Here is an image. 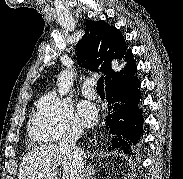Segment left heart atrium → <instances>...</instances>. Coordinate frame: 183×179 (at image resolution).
I'll list each match as a JSON object with an SVG mask.
<instances>
[{
	"instance_id": "39dd6f15",
	"label": "left heart atrium",
	"mask_w": 183,
	"mask_h": 179,
	"mask_svg": "<svg viewBox=\"0 0 183 179\" xmlns=\"http://www.w3.org/2000/svg\"><path fill=\"white\" fill-rule=\"evenodd\" d=\"M78 111L82 121L86 125L91 126L97 121L98 112L93 104L89 102H82L79 105Z\"/></svg>"
}]
</instances>
